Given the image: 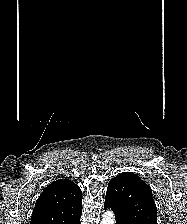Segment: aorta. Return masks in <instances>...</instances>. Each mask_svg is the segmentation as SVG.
<instances>
[{
	"label": "aorta",
	"instance_id": "762f6f07",
	"mask_svg": "<svg viewBox=\"0 0 187 224\" xmlns=\"http://www.w3.org/2000/svg\"><path fill=\"white\" fill-rule=\"evenodd\" d=\"M101 224H115V216L113 211H106L103 214Z\"/></svg>",
	"mask_w": 187,
	"mask_h": 224
}]
</instances>
